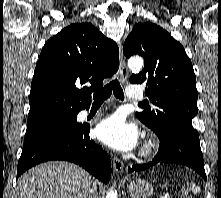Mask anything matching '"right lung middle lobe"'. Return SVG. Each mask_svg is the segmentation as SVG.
Masks as SVG:
<instances>
[{"instance_id": "obj_1", "label": "right lung middle lobe", "mask_w": 221, "mask_h": 198, "mask_svg": "<svg viewBox=\"0 0 221 198\" xmlns=\"http://www.w3.org/2000/svg\"><path fill=\"white\" fill-rule=\"evenodd\" d=\"M77 114L78 113L57 114L28 122L24 141L48 131L78 128L81 124L76 122Z\"/></svg>"}]
</instances>
